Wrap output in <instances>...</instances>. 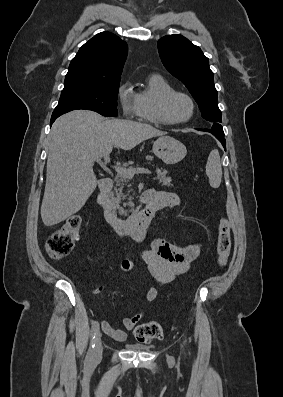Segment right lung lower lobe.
<instances>
[{"mask_svg":"<svg viewBox=\"0 0 283 397\" xmlns=\"http://www.w3.org/2000/svg\"><path fill=\"white\" fill-rule=\"evenodd\" d=\"M69 111L72 110H58V111H54L51 117V121H50V126L52 125V123L56 120V118H58L60 115L67 113Z\"/></svg>","mask_w":283,"mask_h":397,"instance_id":"1","label":"right lung lower lobe"}]
</instances>
